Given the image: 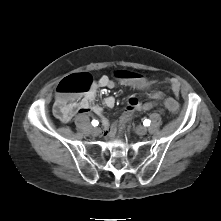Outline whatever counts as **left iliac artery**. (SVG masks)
I'll list each match as a JSON object with an SVG mask.
<instances>
[{"label": "left iliac artery", "mask_w": 221, "mask_h": 221, "mask_svg": "<svg viewBox=\"0 0 221 221\" xmlns=\"http://www.w3.org/2000/svg\"><path fill=\"white\" fill-rule=\"evenodd\" d=\"M150 123H151V122H150L149 119H145L144 122H143L144 126H149Z\"/></svg>", "instance_id": "left-iliac-artery-1"}]
</instances>
